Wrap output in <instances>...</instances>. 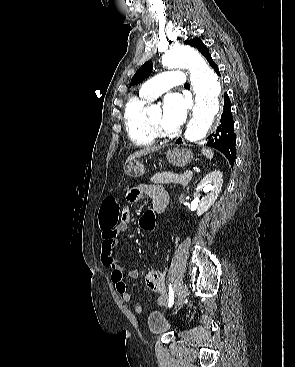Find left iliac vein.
<instances>
[{
  "label": "left iliac vein",
  "mask_w": 295,
  "mask_h": 367,
  "mask_svg": "<svg viewBox=\"0 0 295 367\" xmlns=\"http://www.w3.org/2000/svg\"><path fill=\"white\" fill-rule=\"evenodd\" d=\"M178 292V299H177V305L176 307H179L182 305L186 299L187 296V286L186 284H182L177 288Z\"/></svg>",
  "instance_id": "4c4485c4"
}]
</instances>
